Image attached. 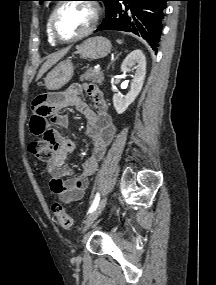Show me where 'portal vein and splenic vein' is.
<instances>
[{
	"label": "portal vein and splenic vein",
	"instance_id": "obj_1",
	"mask_svg": "<svg viewBox=\"0 0 216 285\" xmlns=\"http://www.w3.org/2000/svg\"><path fill=\"white\" fill-rule=\"evenodd\" d=\"M100 70H101V67L98 66V67H95L94 72H99Z\"/></svg>",
	"mask_w": 216,
	"mask_h": 285
}]
</instances>
